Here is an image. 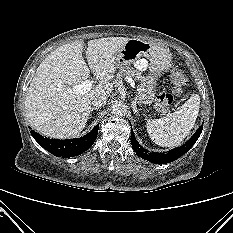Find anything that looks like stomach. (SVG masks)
<instances>
[{
    "instance_id": "1",
    "label": "stomach",
    "mask_w": 233,
    "mask_h": 233,
    "mask_svg": "<svg viewBox=\"0 0 233 233\" xmlns=\"http://www.w3.org/2000/svg\"><path fill=\"white\" fill-rule=\"evenodd\" d=\"M116 67L121 68L140 59L141 57L150 60V74L143 78L138 86L135 100L138 105L146 106L153 103L156 94L157 76L167 70L171 63L169 51L155 43L138 38L129 39L123 47L115 54Z\"/></svg>"
}]
</instances>
